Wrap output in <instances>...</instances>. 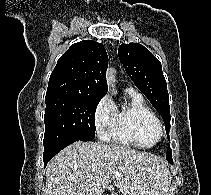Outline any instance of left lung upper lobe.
<instances>
[{"mask_svg":"<svg viewBox=\"0 0 211 195\" xmlns=\"http://www.w3.org/2000/svg\"><path fill=\"white\" fill-rule=\"evenodd\" d=\"M118 56L135 86L143 92L162 116L169 139V94L160 61L143 45L137 43L121 44ZM166 159L168 162L173 161L170 147H168Z\"/></svg>","mask_w":211,"mask_h":195,"instance_id":"5c2ea615","label":"left lung upper lobe"}]
</instances>
